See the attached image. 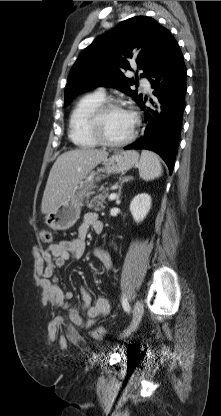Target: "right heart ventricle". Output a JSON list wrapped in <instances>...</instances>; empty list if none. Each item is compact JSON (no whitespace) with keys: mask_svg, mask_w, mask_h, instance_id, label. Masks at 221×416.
<instances>
[{"mask_svg":"<svg viewBox=\"0 0 221 416\" xmlns=\"http://www.w3.org/2000/svg\"><path fill=\"white\" fill-rule=\"evenodd\" d=\"M105 100L99 92L83 96L75 105L69 119V137L83 148L95 147L99 143L89 131L88 123L94 109Z\"/></svg>","mask_w":221,"mask_h":416,"instance_id":"1","label":"right heart ventricle"}]
</instances>
